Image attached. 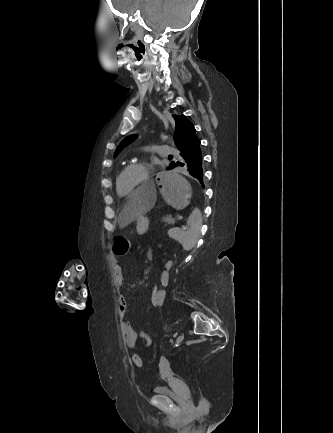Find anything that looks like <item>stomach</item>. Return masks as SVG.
<instances>
[{"mask_svg":"<svg viewBox=\"0 0 333 433\" xmlns=\"http://www.w3.org/2000/svg\"><path fill=\"white\" fill-rule=\"evenodd\" d=\"M155 181L160 185L162 198L169 204L170 210H187L193 192L179 169H164L163 174H156ZM137 226L138 229L141 226L148 228V218L141 215Z\"/></svg>","mask_w":333,"mask_h":433,"instance_id":"0dacf381","label":"stomach"}]
</instances>
